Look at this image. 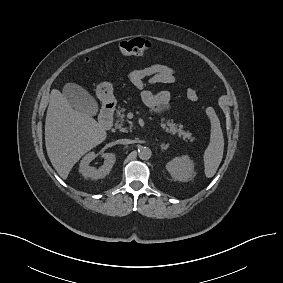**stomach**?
<instances>
[{"label": "stomach", "mask_w": 283, "mask_h": 283, "mask_svg": "<svg viewBox=\"0 0 283 283\" xmlns=\"http://www.w3.org/2000/svg\"><path fill=\"white\" fill-rule=\"evenodd\" d=\"M96 95L103 104L115 103L113 85L110 82H102L96 88Z\"/></svg>", "instance_id": "1"}]
</instances>
